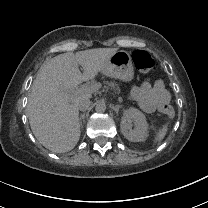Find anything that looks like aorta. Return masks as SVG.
I'll return each mask as SVG.
<instances>
[{
	"instance_id": "obj_1",
	"label": "aorta",
	"mask_w": 208,
	"mask_h": 208,
	"mask_svg": "<svg viewBox=\"0 0 208 208\" xmlns=\"http://www.w3.org/2000/svg\"><path fill=\"white\" fill-rule=\"evenodd\" d=\"M105 109H106V106H105L104 103L100 102V103H97V104H96L95 110H96L97 112H104Z\"/></svg>"
}]
</instances>
